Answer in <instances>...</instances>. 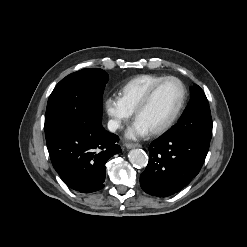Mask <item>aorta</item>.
<instances>
[{"label": "aorta", "instance_id": "aorta-1", "mask_svg": "<svg viewBox=\"0 0 247 247\" xmlns=\"http://www.w3.org/2000/svg\"><path fill=\"white\" fill-rule=\"evenodd\" d=\"M129 161L137 168H143L148 164V156L142 149H133L128 155Z\"/></svg>", "mask_w": 247, "mask_h": 247}]
</instances>
